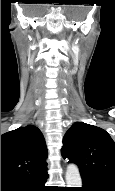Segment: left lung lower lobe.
I'll return each mask as SVG.
<instances>
[{
  "label": "left lung lower lobe",
  "instance_id": "0a47b994",
  "mask_svg": "<svg viewBox=\"0 0 115 191\" xmlns=\"http://www.w3.org/2000/svg\"><path fill=\"white\" fill-rule=\"evenodd\" d=\"M77 191H111L106 186L89 181V180H83V186L77 189Z\"/></svg>",
  "mask_w": 115,
  "mask_h": 191
}]
</instances>
